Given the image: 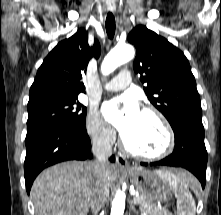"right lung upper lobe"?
<instances>
[{"label":"right lung upper lobe","mask_w":221,"mask_h":215,"mask_svg":"<svg viewBox=\"0 0 221 215\" xmlns=\"http://www.w3.org/2000/svg\"><path fill=\"white\" fill-rule=\"evenodd\" d=\"M97 40L88 45V32L81 28L70 38L59 42L47 55L30 88L28 106L48 101L78 98L85 92L81 81L92 57L98 58Z\"/></svg>","instance_id":"obj_1"}]
</instances>
